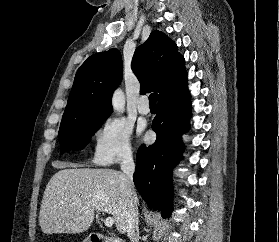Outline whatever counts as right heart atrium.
<instances>
[{
    "label": "right heart atrium",
    "instance_id": "obj_1",
    "mask_svg": "<svg viewBox=\"0 0 279 242\" xmlns=\"http://www.w3.org/2000/svg\"><path fill=\"white\" fill-rule=\"evenodd\" d=\"M132 129L122 119H109L98 131L92 150L95 164L110 166L132 158Z\"/></svg>",
    "mask_w": 279,
    "mask_h": 242
}]
</instances>
